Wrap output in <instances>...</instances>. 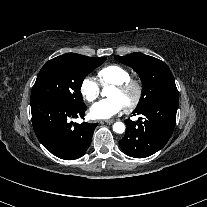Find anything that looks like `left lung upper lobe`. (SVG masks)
Listing matches in <instances>:
<instances>
[{
	"instance_id": "left-lung-upper-lobe-1",
	"label": "left lung upper lobe",
	"mask_w": 207,
	"mask_h": 207,
	"mask_svg": "<svg viewBox=\"0 0 207 207\" xmlns=\"http://www.w3.org/2000/svg\"><path fill=\"white\" fill-rule=\"evenodd\" d=\"M115 59L132 67L141 78L143 90L135 112L143 111L159 102H178L174 77L163 61L138 52L127 56L116 55Z\"/></svg>"
}]
</instances>
